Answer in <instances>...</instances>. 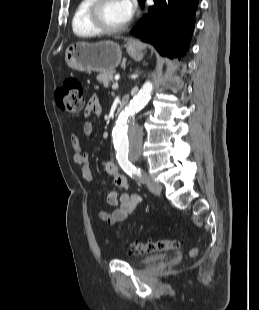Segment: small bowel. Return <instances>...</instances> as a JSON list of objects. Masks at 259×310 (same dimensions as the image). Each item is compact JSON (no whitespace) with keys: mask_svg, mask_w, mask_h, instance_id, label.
Segmentation results:
<instances>
[{"mask_svg":"<svg viewBox=\"0 0 259 310\" xmlns=\"http://www.w3.org/2000/svg\"><path fill=\"white\" fill-rule=\"evenodd\" d=\"M102 111L103 106L99 99L96 96H92L87 103L85 114L98 116ZM92 131V124L85 123L83 126V133L89 136ZM70 142L73 162L79 166L82 178L86 182H92L94 177L89 166L88 155L82 152V143L79 136L77 134H72ZM102 167L107 174L113 177L114 185L117 188H129L127 178L119 173L118 167L113 161H103ZM106 201L110 206H115L116 208L111 213L103 210L99 211L98 217L101 221L113 225L118 222H123L135 215L141 198L137 194H129L127 192L119 193L117 190H112L107 194Z\"/></svg>","mask_w":259,"mask_h":310,"instance_id":"obj_1","label":"small bowel"}]
</instances>
